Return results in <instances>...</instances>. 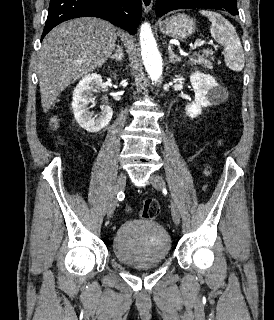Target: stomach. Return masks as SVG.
<instances>
[{"label": "stomach", "mask_w": 274, "mask_h": 320, "mask_svg": "<svg viewBox=\"0 0 274 320\" xmlns=\"http://www.w3.org/2000/svg\"><path fill=\"white\" fill-rule=\"evenodd\" d=\"M160 32L175 40H185L192 36L196 30V22L186 14H175L158 24Z\"/></svg>", "instance_id": "0dacf381"}]
</instances>
